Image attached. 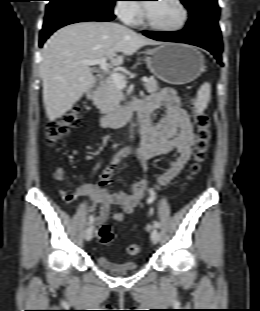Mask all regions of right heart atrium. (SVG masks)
I'll use <instances>...</instances> for the list:
<instances>
[{
    "label": "right heart atrium",
    "instance_id": "right-heart-atrium-1",
    "mask_svg": "<svg viewBox=\"0 0 260 311\" xmlns=\"http://www.w3.org/2000/svg\"><path fill=\"white\" fill-rule=\"evenodd\" d=\"M116 14L125 23H135L139 20L142 9L141 7L133 3V1L119 0L114 8Z\"/></svg>",
    "mask_w": 260,
    "mask_h": 311
}]
</instances>
